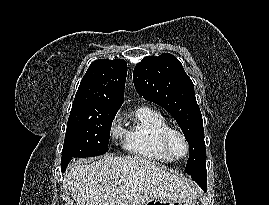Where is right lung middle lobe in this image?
Instances as JSON below:
<instances>
[{
  "label": "right lung middle lobe",
  "mask_w": 269,
  "mask_h": 205,
  "mask_svg": "<svg viewBox=\"0 0 269 205\" xmlns=\"http://www.w3.org/2000/svg\"><path fill=\"white\" fill-rule=\"evenodd\" d=\"M116 113H94L71 110L65 142L62 150L61 165L77 157H91L108 151L110 129Z\"/></svg>",
  "instance_id": "right-lung-middle-lobe-1"
}]
</instances>
